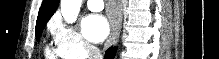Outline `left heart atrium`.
<instances>
[{
    "instance_id": "obj_1",
    "label": "left heart atrium",
    "mask_w": 219,
    "mask_h": 59,
    "mask_svg": "<svg viewBox=\"0 0 219 59\" xmlns=\"http://www.w3.org/2000/svg\"><path fill=\"white\" fill-rule=\"evenodd\" d=\"M82 31L86 39L99 43L107 37L109 24L103 15L89 14L82 21Z\"/></svg>"
}]
</instances>
